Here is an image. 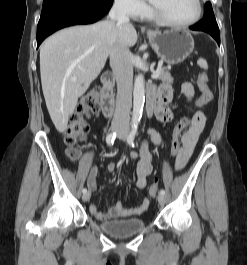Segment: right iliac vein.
<instances>
[{"label":"right iliac vein","instance_id":"obj_1","mask_svg":"<svg viewBox=\"0 0 247 265\" xmlns=\"http://www.w3.org/2000/svg\"><path fill=\"white\" fill-rule=\"evenodd\" d=\"M111 131L112 132H118L119 133L121 130H120V128L113 127L111 129ZM90 197H91V193L88 191V192H86V193L83 194L82 199H83L84 202H87V201L90 200Z\"/></svg>","mask_w":247,"mask_h":265}]
</instances>
